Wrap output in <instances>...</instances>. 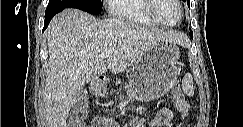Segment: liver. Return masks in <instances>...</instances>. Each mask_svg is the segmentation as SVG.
<instances>
[{"mask_svg":"<svg viewBox=\"0 0 243 127\" xmlns=\"http://www.w3.org/2000/svg\"><path fill=\"white\" fill-rule=\"evenodd\" d=\"M49 67L44 89L47 127H66L75 96L88 82L110 70L123 72L160 41L181 46L183 33L146 29L120 18L98 20L77 9H66L51 21L47 32ZM111 50L107 62L101 57Z\"/></svg>","mask_w":243,"mask_h":127,"instance_id":"6515ba94","label":"liver"}]
</instances>
